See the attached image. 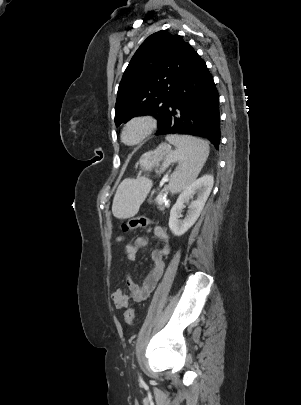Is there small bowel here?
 I'll use <instances>...</instances> for the list:
<instances>
[{
    "label": "small bowel",
    "mask_w": 301,
    "mask_h": 405,
    "mask_svg": "<svg viewBox=\"0 0 301 405\" xmlns=\"http://www.w3.org/2000/svg\"><path fill=\"white\" fill-rule=\"evenodd\" d=\"M153 231L155 236L160 240L161 247L153 250L150 254L152 267L146 275L142 285L137 284L133 280L132 276L129 275L127 278L128 291L122 287H119L113 292L112 298L117 309L124 308L130 299L136 302H141L147 299L163 273L164 258L170 253L171 250L170 237L159 225H155L153 227ZM146 245L147 239L145 237H137L133 243L125 245V258L130 262H135L137 260L139 250L144 248Z\"/></svg>",
    "instance_id": "1"
}]
</instances>
